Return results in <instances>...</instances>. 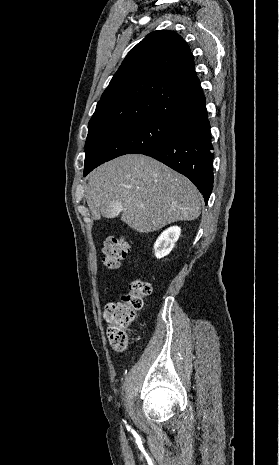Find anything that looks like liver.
<instances>
[{
  "label": "liver",
  "instance_id": "obj_1",
  "mask_svg": "<svg viewBox=\"0 0 279 465\" xmlns=\"http://www.w3.org/2000/svg\"><path fill=\"white\" fill-rule=\"evenodd\" d=\"M86 200L94 220L100 219L106 203L116 201L124 223L139 233H149L198 218L202 196L188 178L163 163L129 154L89 174Z\"/></svg>",
  "mask_w": 279,
  "mask_h": 465
}]
</instances>
